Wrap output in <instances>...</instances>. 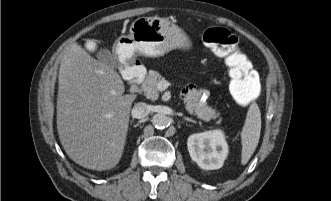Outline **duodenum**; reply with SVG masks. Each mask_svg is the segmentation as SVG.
<instances>
[{
  "label": "duodenum",
  "mask_w": 331,
  "mask_h": 201,
  "mask_svg": "<svg viewBox=\"0 0 331 201\" xmlns=\"http://www.w3.org/2000/svg\"><path fill=\"white\" fill-rule=\"evenodd\" d=\"M125 74L129 79L130 85L135 86L144 78L145 69L138 60H135L125 69Z\"/></svg>",
  "instance_id": "duodenum-1"
}]
</instances>
